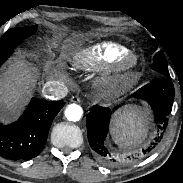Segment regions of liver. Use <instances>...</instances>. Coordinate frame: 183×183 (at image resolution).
<instances>
[{
  "label": "liver",
  "instance_id": "liver-1",
  "mask_svg": "<svg viewBox=\"0 0 183 183\" xmlns=\"http://www.w3.org/2000/svg\"><path fill=\"white\" fill-rule=\"evenodd\" d=\"M34 79L35 75L25 61L15 58L0 76V113L9 116L18 112L26 102Z\"/></svg>",
  "mask_w": 183,
  "mask_h": 183
}]
</instances>
